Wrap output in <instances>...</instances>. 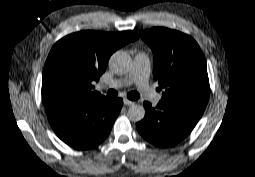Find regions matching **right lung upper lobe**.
<instances>
[{
	"label": "right lung upper lobe",
	"instance_id": "cb5924a9",
	"mask_svg": "<svg viewBox=\"0 0 255 177\" xmlns=\"http://www.w3.org/2000/svg\"><path fill=\"white\" fill-rule=\"evenodd\" d=\"M138 37L135 31H81L59 40L44 67L42 98L45 106L61 103L58 94L66 89L74 92L70 101L101 95L92 91V80H99L114 51Z\"/></svg>",
	"mask_w": 255,
	"mask_h": 177
}]
</instances>
